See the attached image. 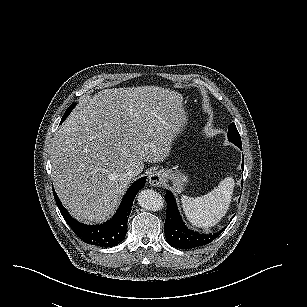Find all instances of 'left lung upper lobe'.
Masks as SVG:
<instances>
[{"mask_svg":"<svg viewBox=\"0 0 307 307\" xmlns=\"http://www.w3.org/2000/svg\"><path fill=\"white\" fill-rule=\"evenodd\" d=\"M228 139L230 142L234 143L239 148H242V143L240 139V135L234 123L229 126L228 130Z\"/></svg>","mask_w":307,"mask_h":307,"instance_id":"1","label":"left lung upper lobe"}]
</instances>
